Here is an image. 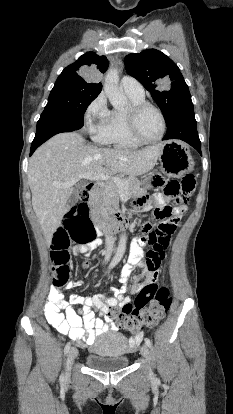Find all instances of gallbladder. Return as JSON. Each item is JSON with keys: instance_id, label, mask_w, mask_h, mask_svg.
<instances>
[{"instance_id": "bac80fb5", "label": "gallbladder", "mask_w": 233, "mask_h": 414, "mask_svg": "<svg viewBox=\"0 0 233 414\" xmlns=\"http://www.w3.org/2000/svg\"><path fill=\"white\" fill-rule=\"evenodd\" d=\"M84 186H85V183L80 182L74 187L73 192L71 193L67 201L68 209H70L72 206H74L77 203L79 190H81Z\"/></svg>"}]
</instances>
